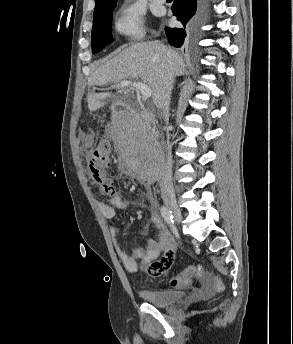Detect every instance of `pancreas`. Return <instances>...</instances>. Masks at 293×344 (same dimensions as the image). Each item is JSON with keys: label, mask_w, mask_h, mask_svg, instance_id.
Returning a JSON list of instances; mask_svg holds the SVG:
<instances>
[{"label": "pancreas", "mask_w": 293, "mask_h": 344, "mask_svg": "<svg viewBox=\"0 0 293 344\" xmlns=\"http://www.w3.org/2000/svg\"><path fill=\"white\" fill-rule=\"evenodd\" d=\"M142 133L141 128H137L135 130H130L131 138L135 139L137 136H139Z\"/></svg>", "instance_id": "pancreas-1"}]
</instances>
